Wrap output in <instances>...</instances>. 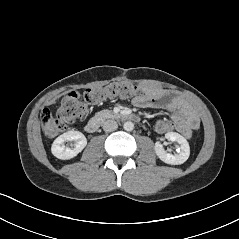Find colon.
Listing matches in <instances>:
<instances>
[{"label": "colon", "instance_id": "obj_1", "mask_svg": "<svg viewBox=\"0 0 239 239\" xmlns=\"http://www.w3.org/2000/svg\"><path fill=\"white\" fill-rule=\"evenodd\" d=\"M143 89L128 82L112 83L104 87L87 89L81 95L71 92L62 100L56 118H53L49 110H44L40 119L45 135L53 138L65 131L70 125L84 119L89 113V106L112 99L117 96L129 97L143 94ZM171 125L167 120H157L154 130L159 136H166L171 132Z\"/></svg>", "mask_w": 239, "mask_h": 239}]
</instances>
